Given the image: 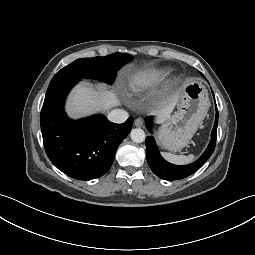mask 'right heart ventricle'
<instances>
[{
  "instance_id": "e07e8e85",
  "label": "right heart ventricle",
  "mask_w": 255,
  "mask_h": 255,
  "mask_svg": "<svg viewBox=\"0 0 255 255\" xmlns=\"http://www.w3.org/2000/svg\"><path fill=\"white\" fill-rule=\"evenodd\" d=\"M170 71L166 69H153L138 74L132 81V88L136 91L152 88L164 81Z\"/></svg>"
}]
</instances>
